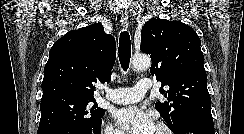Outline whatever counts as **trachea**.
<instances>
[{
	"instance_id": "obj_1",
	"label": "trachea",
	"mask_w": 244,
	"mask_h": 134,
	"mask_svg": "<svg viewBox=\"0 0 244 134\" xmlns=\"http://www.w3.org/2000/svg\"><path fill=\"white\" fill-rule=\"evenodd\" d=\"M118 56L122 69L127 71L131 58V40L128 31L120 33Z\"/></svg>"
}]
</instances>
